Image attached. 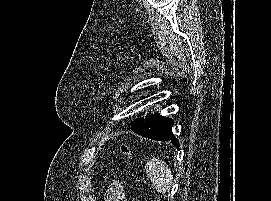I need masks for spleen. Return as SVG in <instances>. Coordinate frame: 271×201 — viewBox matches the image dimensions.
Instances as JSON below:
<instances>
[{
    "label": "spleen",
    "instance_id": "3e777b00",
    "mask_svg": "<svg viewBox=\"0 0 271 201\" xmlns=\"http://www.w3.org/2000/svg\"><path fill=\"white\" fill-rule=\"evenodd\" d=\"M148 177L150 178L154 188L161 194L170 191L173 183V175L169 166L156 158H151L146 166Z\"/></svg>",
    "mask_w": 271,
    "mask_h": 201
}]
</instances>
